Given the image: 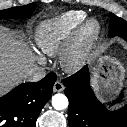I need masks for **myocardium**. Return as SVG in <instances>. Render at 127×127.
<instances>
[{"label":"myocardium","mask_w":127,"mask_h":127,"mask_svg":"<svg viewBox=\"0 0 127 127\" xmlns=\"http://www.w3.org/2000/svg\"><path fill=\"white\" fill-rule=\"evenodd\" d=\"M102 26L97 19L84 20L72 33L65 46L61 63L67 71H77L82 68L89 58L93 46L99 40Z\"/></svg>","instance_id":"1"}]
</instances>
